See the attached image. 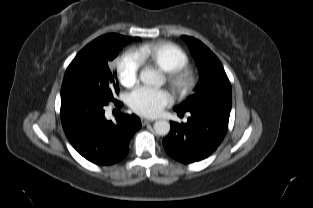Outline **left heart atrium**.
<instances>
[{"label": "left heart atrium", "mask_w": 313, "mask_h": 208, "mask_svg": "<svg viewBox=\"0 0 313 208\" xmlns=\"http://www.w3.org/2000/svg\"><path fill=\"white\" fill-rule=\"evenodd\" d=\"M171 103L170 94L163 89L139 87L128 96V104L137 114L155 117Z\"/></svg>", "instance_id": "39dd6f15"}]
</instances>
